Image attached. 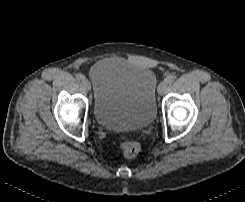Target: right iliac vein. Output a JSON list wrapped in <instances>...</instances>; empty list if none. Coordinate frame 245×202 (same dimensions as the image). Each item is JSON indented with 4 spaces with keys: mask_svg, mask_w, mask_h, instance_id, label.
<instances>
[{
    "mask_svg": "<svg viewBox=\"0 0 245 202\" xmlns=\"http://www.w3.org/2000/svg\"><path fill=\"white\" fill-rule=\"evenodd\" d=\"M82 85H83V87H84L87 91L91 90V84H90V82H89L88 79L83 78V79H82Z\"/></svg>",
    "mask_w": 245,
    "mask_h": 202,
    "instance_id": "right-iliac-vein-1",
    "label": "right iliac vein"
}]
</instances>
